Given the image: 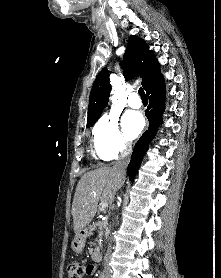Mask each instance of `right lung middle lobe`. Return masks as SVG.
<instances>
[{
  "label": "right lung middle lobe",
  "instance_id": "right-lung-middle-lobe-1",
  "mask_svg": "<svg viewBox=\"0 0 221 278\" xmlns=\"http://www.w3.org/2000/svg\"><path fill=\"white\" fill-rule=\"evenodd\" d=\"M93 125H94V124H88L87 127H91V126H93Z\"/></svg>",
  "mask_w": 221,
  "mask_h": 278
}]
</instances>
